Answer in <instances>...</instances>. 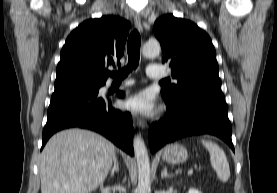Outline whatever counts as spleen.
<instances>
[{
	"mask_svg": "<svg viewBox=\"0 0 277 193\" xmlns=\"http://www.w3.org/2000/svg\"><path fill=\"white\" fill-rule=\"evenodd\" d=\"M201 142L210 154L211 166L216 171L217 177L222 182H227L230 178V168L224 151L211 141L202 140Z\"/></svg>",
	"mask_w": 277,
	"mask_h": 193,
	"instance_id": "3e777b00",
	"label": "spleen"
}]
</instances>
